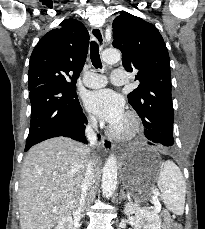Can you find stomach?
Instances as JSON below:
<instances>
[{
  "mask_svg": "<svg viewBox=\"0 0 205 229\" xmlns=\"http://www.w3.org/2000/svg\"><path fill=\"white\" fill-rule=\"evenodd\" d=\"M161 159L149 150L127 154L122 160V174L127 186L134 191L145 192V188L154 180Z\"/></svg>",
  "mask_w": 205,
  "mask_h": 229,
  "instance_id": "obj_1",
  "label": "stomach"
}]
</instances>
